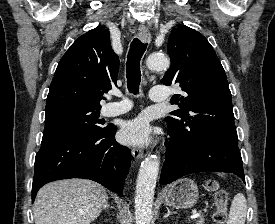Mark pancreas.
<instances>
[{
	"instance_id": "pancreas-1",
	"label": "pancreas",
	"mask_w": 275,
	"mask_h": 224,
	"mask_svg": "<svg viewBox=\"0 0 275 224\" xmlns=\"http://www.w3.org/2000/svg\"><path fill=\"white\" fill-rule=\"evenodd\" d=\"M205 223V219L203 216H200L199 219L196 220V224H204Z\"/></svg>"
}]
</instances>
